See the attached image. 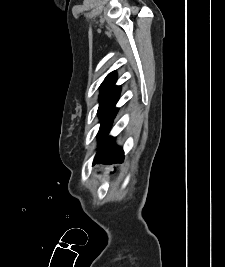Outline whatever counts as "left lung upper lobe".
Listing matches in <instances>:
<instances>
[{
	"mask_svg": "<svg viewBox=\"0 0 225 267\" xmlns=\"http://www.w3.org/2000/svg\"><path fill=\"white\" fill-rule=\"evenodd\" d=\"M115 82L116 75L114 71L108 74L101 84L100 105L98 108L101 126L98 133L99 147L96 157L105 144L113 119L118 111V109L115 108V104L120 94V86H115Z\"/></svg>",
	"mask_w": 225,
	"mask_h": 267,
	"instance_id": "left-lung-upper-lobe-1",
	"label": "left lung upper lobe"
}]
</instances>
